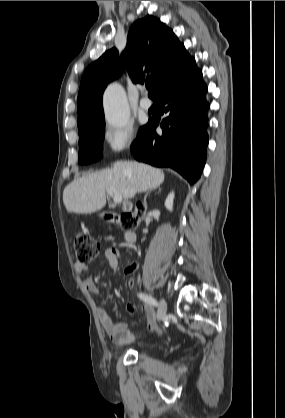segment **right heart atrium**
Returning <instances> with one entry per match:
<instances>
[{
	"label": "right heart atrium",
	"mask_w": 285,
	"mask_h": 418,
	"mask_svg": "<svg viewBox=\"0 0 285 418\" xmlns=\"http://www.w3.org/2000/svg\"><path fill=\"white\" fill-rule=\"evenodd\" d=\"M135 140L134 130L131 126H108L103 133V143L106 150L116 155L130 149Z\"/></svg>",
	"instance_id": "obj_1"
}]
</instances>
